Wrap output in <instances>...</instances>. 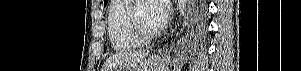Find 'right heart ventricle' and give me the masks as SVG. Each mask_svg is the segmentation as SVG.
Masks as SVG:
<instances>
[{
	"mask_svg": "<svg viewBox=\"0 0 301 71\" xmlns=\"http://www.w3.org/2000/svg\"><path fill=\"white\" fill-rule=\"evenodd\" d=\"M129 4L130 0H114L108 10L107 31L115 50H129L141 45L128 29L126 13Z\"/></svg>",
	"mask_w": 301,
	"mask_h": 71,
	"instance_id": "obj_1",
	"label": "right heart ventricle"
}]
</instances>
